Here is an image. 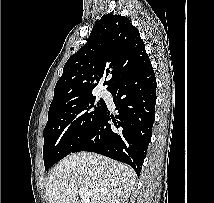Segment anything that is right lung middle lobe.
Instances as JSON below:
<instances>
[{
	"mask_svg": "<svg viewBox=\"0 0 214 203\" xmlns=\"http://www.w3.org/2000/svg\"><path fill=\"white\" fill-rule=\"evenodd\" d=\"M105 106L90 95L48 112L44 128L43 158L45 169L72 153L73 149L89 133Z\"/></svg>",
	"mask_w": 214,
	"mask_h": 203,
	"instance_id": "obj_1",
	"label": "right lung middle lobe"
}]
</instances>
